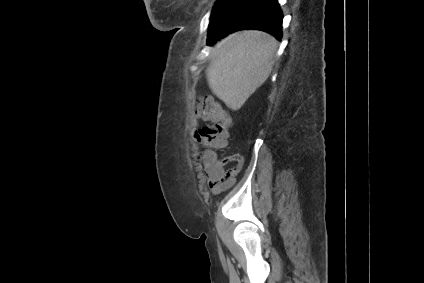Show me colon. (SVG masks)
<instances>
[{"instance_id": "1", "label": "colon", "mask_w": 424, "mask_h": 283, "mask_svg": "<svg viewBox=\"0 0 424 283\" xmlns=\"http://www.w3.org/2000/svg\"><path fill=\"white\" fill-rule=\"evenodd\" d=\"M196 114L203 120L212 122L198 130L196 137L208 150L203 154L206 165L216 163V154L213 149L226 147L229 138L230 119L220 104L208 98H203L198 103Z\"/></svg>"}]
</instances>
